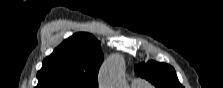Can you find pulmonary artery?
<instances>
[{"label":"pulmonary artery","instance_id":"obj_1","mask_svg":"<svg viewBox=\"0 0 223 88\" xmlns=\"http://www.w3.org/2000/svg\"><path fill=\"white\" fill-rule=\"evenodd\" d=\"M132 86L134 88H139V87H145V86H147V84L142 79H134L132 81Z\"/></svg>","mask_w":223,"mask_h":88}]
</instances>
